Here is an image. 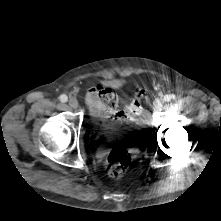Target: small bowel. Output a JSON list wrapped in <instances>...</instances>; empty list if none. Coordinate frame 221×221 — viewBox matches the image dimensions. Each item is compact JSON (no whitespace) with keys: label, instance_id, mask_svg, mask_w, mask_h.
<instances>
[{"label":"small bowel","instance_id":"c3829d8e","mask_svg":"<svg viewBox=\"0 0 221 221\" xmlns=\"http://www.w3.org/2000/svg\"><path fill=\"white\" fill-rule=\"evenodd\" d=\"M109 98L111 102H106ZM86 102L89 106L90 113L102 122H115L122 124L132 121L136 115L131 110L130 105L124 108H118V99L116 94L105 85L91 87L86 94Z\"/></svg>","mask_w":221,"mask_h":221}]
</instances>
